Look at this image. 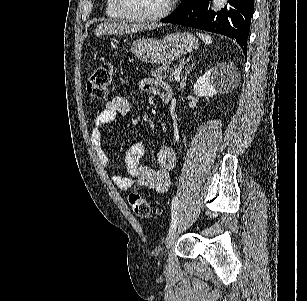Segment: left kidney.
I'll use <instances>...</instances> for the list:
<instances>
[{"instance_id":"5707ae66","label":"left kidney","mask_w":307,"mask_h":301,"mask_svg":"<svg viewBox=\"0 0 307 301\" xmlns=\"http://www.w3.org/2000/svg\"><path fill=\"white\" fill-rule=\"evenodd\" d=\"M237 76V68L232 62H219L197 78V82L193 86L194 94L196 96H214L217 92L232 90Z\"/></svg>"}]
</instances>
